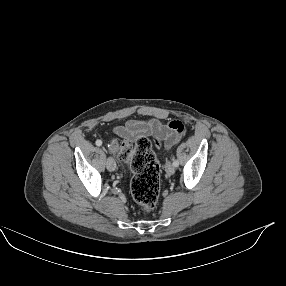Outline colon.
<instances>
[{
    "label": "colon",
    "instance_id": "colon-1",
    "mask_svg": "<svg viewBox=\"0 0 286 286\" xmlns=\"http://www.w3.org/2000/svg\"><path fill=\"white\" fill-rule=\"evenodd\" d=\"M179 126L183 131L184 125L179 123ZM109 149L122 160L129 161L134 173L130 185L132 197L144 212L153 211L159 198L160 170L148 140L139 138L136 151H132L126 143L112 140Z\"/></svg>",
    "mask_w": 286,
    "mask_h": 286
}]
</instances>
